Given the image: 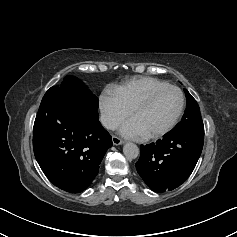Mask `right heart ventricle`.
<instances>
[{"label": "right heart ventricle", "mask_w": 237, "mask_h": 237, "mask_svg": "<svg viewBox=\"0 0 237 237\" xmlns=\"http://www.w3.org/2000/svg\"><path fill=\"white\" fill-rule=\"evenodd\" d=\"M166 85L169 84L157 78L136 77L109 89L116 95L125 108L130 110L133 104L148 92Z\"/></svg>", "instance_id": "obj_1"}]
</instances>
